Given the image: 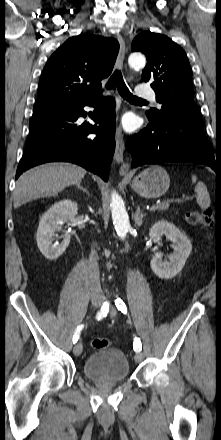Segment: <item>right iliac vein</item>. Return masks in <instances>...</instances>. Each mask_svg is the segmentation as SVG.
<instances>
[{
  "label": "right iliac vein",
  "mask_w": 221,
  "mask_h": 440,
  "mask_svg": "<svg viewBox=\"0 0 221 440\" xmlns=\"http://www.w3.org/2000/svg\"><path fill=\"white\" fill-rule=\"evenodd\" d=\"M92 304H93L95 307H99V306H101V302H100V301H97V300H93V301H92ZM82 350H83V346H82V344L79 342V343L75 344V346H74V348H73V353H74L75 356H79V355L82 353Z\"/></svg>",
  "instance_id": "right-iliac-vein-1"
}]
</instances>
